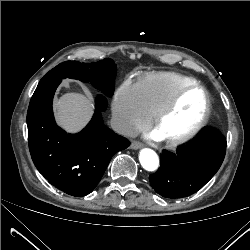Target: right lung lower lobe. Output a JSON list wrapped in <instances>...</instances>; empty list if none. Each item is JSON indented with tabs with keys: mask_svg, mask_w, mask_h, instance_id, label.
<instances>
[{
	"mask_svg": "<svg viewBox=\"0 0 250 250\" xmlns=\"http://www.w3.org/2000/svg\"><path fill=\"white\" fill-rule=\"evenodd\" d=\"M61 80L38 84L27 112L28 142L39 172L58 189L75 197L91 193L103 176L112 156L129 141L103 125L105 97L96 100V111L86 128L67 134L55 123L52 100Z\"/></svg>",
	"mask_w": 250,
	"mask_h": 250,
	"instance_id": "1",
	"label": "right lung lower lobe"
}]
</instances>
